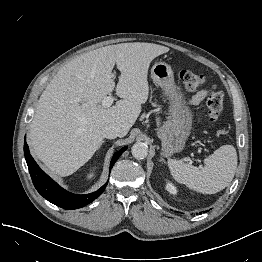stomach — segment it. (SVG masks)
<instances>
[{
    "label": "stomach",
    "instance_id": "1",
    "mask_svg": "<svg viewBox=\"0 0 262 262\" xmlns=\"http://www.w3.org/2000/svg\"><path fill=\"white\" fill-rule=\"evenodd\" d=\"M151 78L162 88L169 100V117L156 129V133L161 140L164 155L170 156L183 150L191 131L192 112L175 84L170 65L164 62L155 63L151 68Z\"/></svg>",
    "mask_w": 262,
    "mask_h": 262
}]
</instances>
